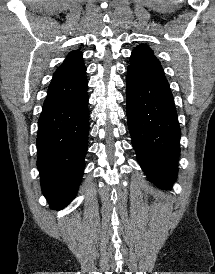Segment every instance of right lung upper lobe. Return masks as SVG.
<instances>
[{"instance_id":"1","label":"right lung upper lobe","mask_w":215,"mask_h":274,"mask_svg":"<svg viewBox=\"0 0 215 274\" xmlns=\"http://www.w3.org/2000/svg\"><path fill=\"white\" fill-rule=\"evenodd\" d=\"M82 53L71 51L53 75L43 107L52 106L77 93L86 83Z\"/></svg>"}]
</instances>
